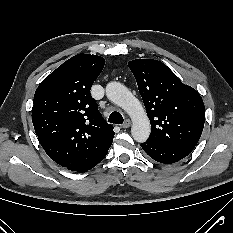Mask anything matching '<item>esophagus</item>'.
Wrapping results in <instances>:
<instances>
[{"instance_id":"obj_1","label":"esophagus","mask_w":233,"mask_h":233,"mask_svg":"<svg viewBox=\"0 0 233 233\" xmlns=\"http://www.w3.org/2000/svg\"><path fill=\"white\" fill-rule=\"evenodd\" d=\"M131 125V121L129 119L125 120V122L122 124V128L127 129Z\"/></svg>"}]
</instances>
